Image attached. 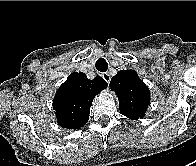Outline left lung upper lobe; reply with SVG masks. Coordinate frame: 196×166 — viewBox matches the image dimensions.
I'll list each match as a JSON object with an SVG mask.
<instances>
[{
    "label": "left lung upper lobe",
    "mask_w": 196,
    "mask_h": 166,
    "mask_svg": "<svg viewBox=\"0 0 196 166\" xmlns=\"http://www.w3.org/2000/svg\"><path fill=\"white\" fill-rule=\"evenodd\" d=\"M110 87L119 99L121 114L130 119H141L150 103V91L134 70H121L112 77Z\"/></svg>",
    "instance_id": "5c2ea615"
}]
</instances>
